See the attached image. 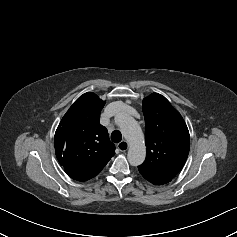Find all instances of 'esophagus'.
I'll return each mask as SVG.
<instances>
[{
    "mask_svg": "<svg viewBox=\"0 0 237 237\" xmlns=\"http://www.w3.org/2000/svg\"><path fill=\"white\" fill-rule=\"evenodd\" d=\"M117 147L121 152H125L128 150L129 145L127 141L123 140L117 144Z\"/></svg>",
    "mask_w": 237,
    "mask_h": 237,
    "instance_id": "esophagus-1",
    "label": "esophagus"
}]
</instances>
